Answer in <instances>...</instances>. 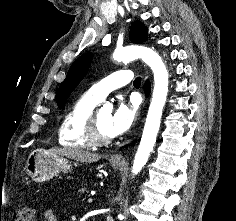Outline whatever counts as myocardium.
<instances>
[{
  "mask_svg": "<svg viewBox=\"0 0 236 221\" xmlns=\"http://www.w3.org/2000/svg\"><path fill=\"white\" fill-rule=\"evenodd\" d=\"M97 114L98 111L93 110L89 118L87 119L85 126V136L92 145H107L113 140V137H107L101 134L98 126Z\"/></svg>",
  "mask_w": 236,
  "mask_h": 221,
  "instance_id": "f54148a6",
  "label": "myocardium"
}]
</instances>
